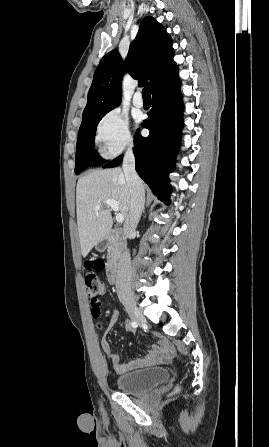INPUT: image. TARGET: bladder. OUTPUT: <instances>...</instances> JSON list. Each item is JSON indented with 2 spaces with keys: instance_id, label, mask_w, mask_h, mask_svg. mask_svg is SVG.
<instances>
[{
  "instance_id": "31cf9c89",
  "label": "bladder",
  "mask_w": 269,
  "mask_h": 447,
  "mask_svg": "<svg viewBox=\"0 0 269 447\" xmlns=\"http://www.w3.org/2000/svg\"><path fill=\"white\" fill-rule=\"evenodd\" d=\"M169 376V372L164 366L145 368L116 375L115 386L118 392L139 394L163 384Z\"/></svg>"
}]
</instances>
